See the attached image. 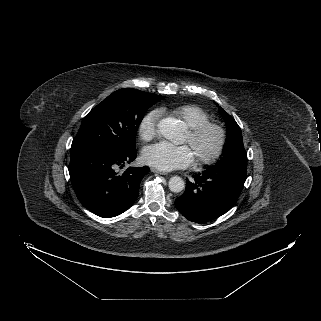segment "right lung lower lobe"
I'll return each instance as SVG.
<instances>
[{"label": "right lung lower lobe", "instance_id": "obj_1", "mask_svg": "<svg viewBox=\"0 0 321 321\" xmlns=\"http://www.w3.org/2000/svg\"><path fill=\"white\" fill-rule=\"evenodd\" d=\"M136 155L135 150L124 154L94 148L71 151L70 180L82 205L104 218L117 216L130 208L149 167H130L120 175L115 168L132 162Z\"/></svg>", "mask_w": 321, "mask_h": 321}]
</instances>
